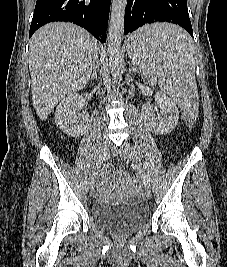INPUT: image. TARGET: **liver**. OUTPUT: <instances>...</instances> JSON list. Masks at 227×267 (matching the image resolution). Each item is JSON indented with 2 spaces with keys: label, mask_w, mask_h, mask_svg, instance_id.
<instances>
[{
  "label": "liver",
  "mask_w": 227,
  "mask_h": 267,
  "mask_svg": "<svg viewBox=\"0 0 227 267\" xmlns=\"http://www.w3.org/2000/svg\"><path fill=\"white\" fill-rule=\"evenodd\" d=\"M97 57L98 41L77 25L53 22L33 34L28 62L32 102L40 120L85 87Z\"/></svg>",
  "instance_id": "1"
}]
</instances>
